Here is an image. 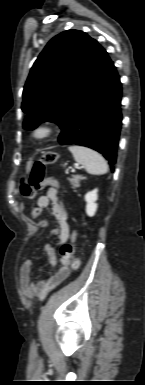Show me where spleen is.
Instances as JSON below:
<instances>
[{
  "mask_svg": "<svg viewBox=\"0 0 145 385\" xmlns=\"http://www.w3.org/2000/svg\"><path fill=\"white\" fill-rule=\"evenodd\" d=\"M69 151L75 161L82 164L88 173L102 175L108 172V164L98 152L78 145L69 146Z\"/></svg>",
  "mask_w": 145,
  "mask_h": 385,
  "instance_id": "3e777b00",
  "label": "spleen"
}]
</instances>
